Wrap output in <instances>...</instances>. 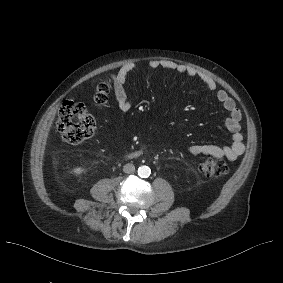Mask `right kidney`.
<instances>
[{
    "label": "right kidney",
    "instance_id": "ca27d5eb",
    "mask_svg": "<svg viewBox=\"0 0 283 283\" xmlns=\"http://www.w3.org/2000/svg\"><path fill=\"white\" fill-rule=\"evenodd\" d=\"M84 170H83V168H81V167H77V168H74L73 169V172L74 173H76V174H80V173H82Z\"/></svg>",
    "mask_w": 283,
    "mask_h": 283
}]
</instances>
